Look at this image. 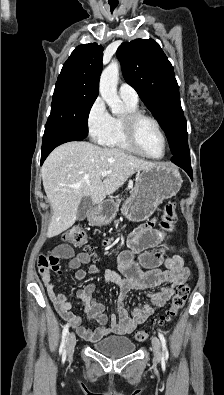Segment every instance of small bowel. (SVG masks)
Returning <instances> with one entry per match:
<instances>
[{"label": "small bowel", "mask_w": 224, "mask_h": 395, "mask_svg": "<svg viewBox=\"0 0 224 395\" xmlns=\"http://www.w3.org/2000/svg\"><path fill=\"white\" fill-rule=\"evenodd\" d=\"M162 237L163 234L154 229L151 222L140 225L130 234L128 249L118 256V267L123 277L113 271L103 274L105 282L115 283L120 288L116 315L108 318L104 314L105 304L94 297L96 290L94 283L77 291L76 298L81 302L87 318L98 323L96 329L82 325L81 318L71 311L72 305L68 297L55 292L50 272H41L47 294L59 315L89 342H97L113 334L131 333L137 325L143 323L157 309L162 308L172 296L174 288L188 278V270L184 266L181 255L163 257V250L152 249ZM53 252L58 258L68 260V268L75 271V279L78 281L86 276L85 270L81 268L82 265H89L90 274H99L98 268L91 264V257L87 253L74 254L72 247L66 244L57 245ZM135 254H138V261L134 258ZM161 264L164 265V269L159 268ZM141 267L147 271H143ZM155 287H159V290L148 294L149 303L138 305L133 309L124 306L123 300L128 292Z\"/></svg>", "instance_id": "small-bowel-1"}]
</instances>
